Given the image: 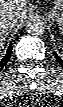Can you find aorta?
Here are the masks:
<instances>
[{"instance_id":"aorta-1","label":"aorta","mask_w":63,"mask_h":107,"mask_svg":"<svg viewBox=\"0 0 63 107\" xmlns=\"http://www.w3.org/2000/svg\"><path fill=\"white\" fill-rule=\"evenodd\" d=\"M27 32L32 36L38 37L44 34V22L39 19H32L27 24Z\"/></svg>"}]
</instances>
